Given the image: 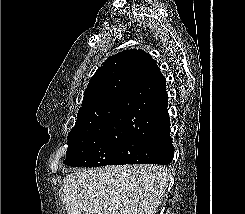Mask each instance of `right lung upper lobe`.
Masks as SVG:
<instances>
[{"mask_svg": "<svg viewBox=\"0 0 245 214\" xmlns=\"http://www.w3.org/2000/svg\"><path fill=\"white\" fill-rule=\"evenodd\" d=\"M164 85L149 53L130 49L109 57L90 79L70 133L130 127L140 114L139 98L160 92Z\"/></svg>", "mask_w": 245, "mask_h": 214, "instance_id": "cb5924a9", "label": "right lung upper lobe"}]
</instances>
